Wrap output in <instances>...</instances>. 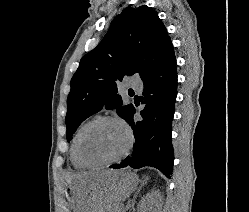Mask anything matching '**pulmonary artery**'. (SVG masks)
I'll return each mask as SVG.
<instances>
[{
  "mask_svg": "<svg viewBox=\"0 0 249 212\" xmlns=\"http://www.w3.org/2000/svg\"><path fill=\"white\" fill-rule=\"evenodd\" d=\"M128 86L134 88L135 90H141V86L140 85H136V84H128Z\"/></svg>",
  "mask_w": 249,
  "mask_h": 212,
  "instance_id": "pulmonary-artery-1",
  "label": "pulmonary artery"
}]
</instances>
